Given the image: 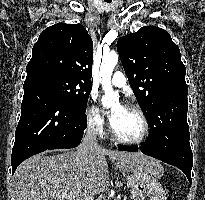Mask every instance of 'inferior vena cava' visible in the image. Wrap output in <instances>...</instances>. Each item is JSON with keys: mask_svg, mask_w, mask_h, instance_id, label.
<instances>
[{"mask_svg": "<svg viewBox=\"0 0 205 200\" xmlns=\"http://www.w3.org/2000/svg\"><path fill=\"white\" fill-rule=\"evenodd\" d=\"M97 131L98 130L95 123H90L88 125L85 137L77 150L78 153L88 154L89 152L100 148L97 142Z\"/></svg>", "mask_w": 205, "mask_h": 200, "instance_id": "inferior-vena-cava-1", "label": "inferior vena cava"}]
</instances>
